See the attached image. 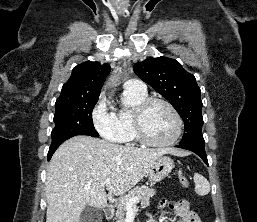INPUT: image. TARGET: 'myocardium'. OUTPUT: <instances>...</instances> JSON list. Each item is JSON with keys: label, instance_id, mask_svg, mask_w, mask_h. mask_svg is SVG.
<instances>
[{"label": "myocardium", "instance_id": "1", "mask_svg": "<svg viewBox=\"0 0 257 222\" xmlns=\"http://www.w3.org/2000/svg\"><path fill=\"white\" fill-rule=\"evenodd\" d=\"M154 104L165 105L174 116V119L176 122V131L173 137L167 141H163V142L154 141L150 139L145 132L144 119L147 112ZM133 124H134L135 134L138 140L144 145H147L150 147L162 148V147H169L171 145H174L180 138L183 131V120L178 110L170 101L160 97H147L145 100H143L134 111Z\"/></svg>", "mask_w": 257, "mask_h": 222}]
</instances>
